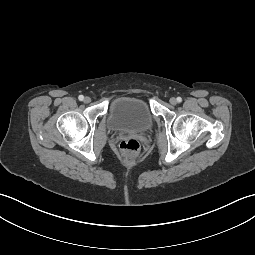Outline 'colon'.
<instances>
[{
	"label": "colon",
	"instance_id": "5ec220e1",
	"mask_svg": "<svg viewBox=\"0 0 255 255\" xmlns=\"http://www.w3.org/2000/svg\"><path fill=\"white\" fill-rule=\"evenodd\" d=\"M121 153L127 158H134L140 150V142L136 138H124L119 144Z\"/></svg>",
	"mask_w": 255,
	"mask_h": 255
}]
</instances>
